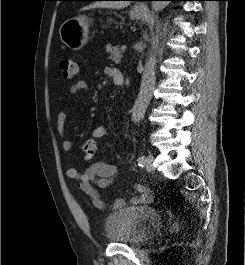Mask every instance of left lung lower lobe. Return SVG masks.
Wrapping results in <instances>:
<instances>
[{
	"instance_id": "obj_1",
	"label": "left lung lower lobe",
	"mask_w": 245,
	"mask_h": 265,
	"mask_svg": "<svg viewBox=\"0 0 245 265\" xmlns=\"http://www.w3.org/2000/svg\"><path fill=\"white\" fill-rule=\"evenodd\" d=\"M127 1H155V0H127ZM169 1H185V0H169Z\"/></svg>"
}]
</instances>
